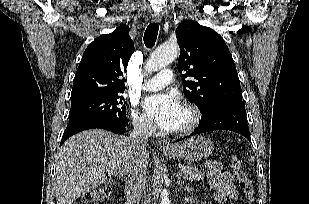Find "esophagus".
Segmentation results:
<instances>
[{"instance_id": "obj_1", "label": "esophagus", "mask_w": 309, "mask_h": 204, "mask_svg": "<svg viewBox=\"0 0 309 204\" xmlns=\"http://www.w3.org/2000/svg\"><path fill=\"white\" fill-rule=\"evenodd\" d=\"M151 20L153 23H160L161 22V16L160 14L154 13L151 15ZM158 147L161 150H170L173 148V145L170 143V141L166 139H160L158 141Z\"/></svg>"}]
</instances>
